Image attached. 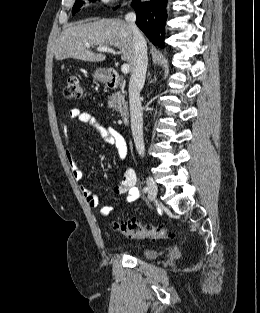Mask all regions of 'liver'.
<instances>
[{
  "label": "liver",
  "instance_id": "6515ba94",
  "mask_svg": "<svg viewBox=\"0 0 260 313\" xmlns=\"http://www.w3.org/2000/svg\"><path fill=\"white\" fill-rule=\"evenodd\" d=\"M90 47L114 46L120 49L121 59L132 70L134 57L133 32L128 23L121 19L104 18L93 22H80L65 29L60 35L56 50V60L73 58L82 61L102 62L106 56L94 53Z\"/></svg>",
  "mask_w": 260,
  "mask_h": 313
}]
</instances>
